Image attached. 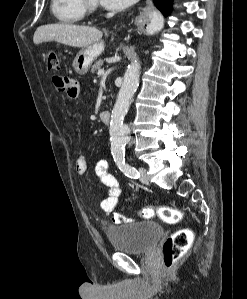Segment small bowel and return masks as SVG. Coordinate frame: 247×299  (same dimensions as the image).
<instances>
[{"mask_svg":"<svg viewBox=\"0 0 247 299\" xmlns=\"http://www.w3.org/2000/svg\"><path fill=\"white\" fill-rule=\"evenodd\" d=\"M53 84L58 91L64 92L71 100H76L79 94V84L76 80L61 75L53 76ZM75 169L78 174H84L88 169L85 156L80 155L75 162ZM96 174L102 183L108 188L107 196L101 201L100 207L106 214H111L116 208L122 189L118 179L110 172L109 163L101 159L96 164ZM113 221L122 223L120 216H114Z\"/></svg>","mask_w":247,"mask_h":299,"instance_id":"obj_1","label":"small bowel"}]
</instances>
